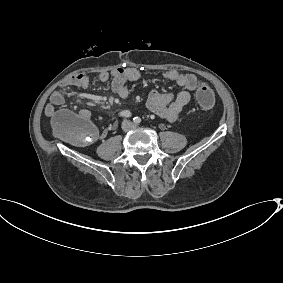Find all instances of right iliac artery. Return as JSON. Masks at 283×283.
<instances>
[{
  "label": "right iliac artery",
  "instance_id": "obj_1",
  "mask_svg": "<svg viewBox=\"0 0 283 283\" xmlns=\"http://www.w3.org/2000/svg\"><path fill=\"white\" fill-rule=\"evenodd\" d=\"M131 115H132L131 112L128 111V110H124V111L119 113L120 117H131Z\"/></svg>",
  "mask_w": 283,
  "mask_h": 283
}]
</instances>
